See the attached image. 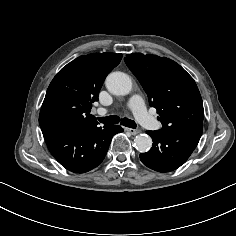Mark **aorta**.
<instances>
[{
    "label": "aorta",
    "instance_id": "obj_1",
    "mask_svg": "<svg viewBox=\"0 0 236 236\" xmlns=\"http://www.w3.org/2000/svg\"><path fill=\"white\" fill-rule=\"evenodd\" d=\"M105 84L108 91L115 95H127L132 90V80L123 72L110 73ZM134 143L139 152H147L152 147V139L146 134L137 135Z\"/></svg>",
    "mask_w": 236,
    "mask_h": 236
}]
</instances>
